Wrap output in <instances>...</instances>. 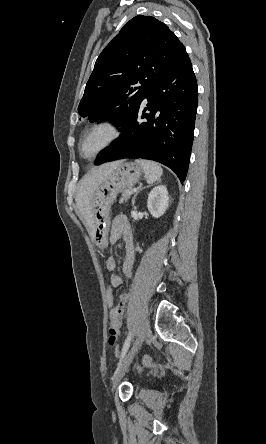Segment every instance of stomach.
Wrapping results in <instances>:
<instances>
[{"label": "stomach", "mask_w": 266, "mask_h": 444, "mask_svg": "<svg viewBox=\"0 0 266 444\" xmlns=\"http://www.w3.org/2000/svg\"><path fill=\"white\" fill-rule=\"evenodd\" d=\"M143 169L134 162L122 161L99 185L91 201L94 238L100 245L109 229V211L117 195L134 186Z\"/></svg>", "instance_id": "obj_1"}]
</instances>
